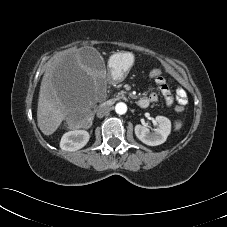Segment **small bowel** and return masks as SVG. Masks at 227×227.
I'll return each instance as SVG.
<instances>
[{
	"label": "small bowel",
	"instance_id": "obj_1",
	"mask_svg": "<svg viewBox=\"0 0 227 227\" xmlns=\"http://www.w3.org/2000/svg\"><path fill=\"white\" fill-rule=\"evenodd\" d=\"M155 83L157 84L159 90L161 91L166 104L171 106L174 101L177 102V106H184L187 104V95L184 89L178 88L176 91V96L174 97L171 90L169 89L167 82L164 77L159 76L155 79ZM150 102H157L158 96L155 92H151L147 97H144Z\"/></svg>",
	"mask_w": 227,
	"mask_h": 227
}]
</instances>
